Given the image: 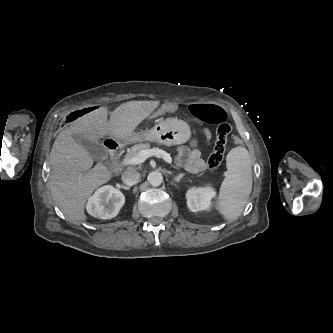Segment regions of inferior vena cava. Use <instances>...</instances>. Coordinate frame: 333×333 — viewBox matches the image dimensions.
<instances>
[{
    "mask_svg": "<svg viewBox=\"0 0 333 333\" xmlns=\"http://www.w3.org/2000/svg\"><path fill=\"white\" fill-rule=\"evenodd\" d=\"M139 179L140 173L134 168H129L122 174L123 183L129 186L138 183Z\"/></svg>",
    "mask_w": 333,
    "mask_h": 333,
    "instance_id": "inferior-vena-cava-1",
    "label": "inferior vena cava"
}]
</instances>
